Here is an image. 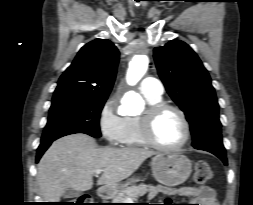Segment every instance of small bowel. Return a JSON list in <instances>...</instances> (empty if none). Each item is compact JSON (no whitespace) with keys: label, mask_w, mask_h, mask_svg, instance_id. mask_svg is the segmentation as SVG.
Here are the masks:
<instances>
[{"label":"small bowel","mask_w":253,"mask_h":205,"mask_svg":"<svg viewBox=\"0 0 253 205\" xmlns=\"http://www.w3.org/2000/svg\"><path fill=\"white\" fill-rule=\"evenodd\" d=\"M156 192L163 193L167 196L178 194L188 197L197 203L195 205H217L214 192L208 186L183 187L178 191L167 187L157 186L151 190L150 196L153 197Z\"/></svg>","instance_id":"c3829d8e"}]
</instances>
